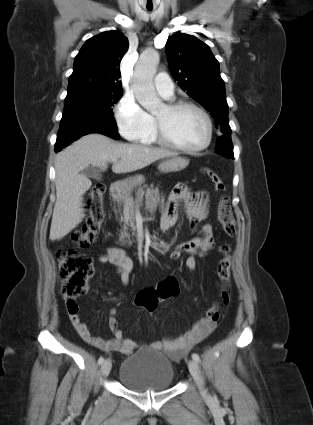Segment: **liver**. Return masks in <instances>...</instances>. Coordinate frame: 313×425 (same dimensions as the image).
Masks as SVG:
<instances>
[{"label":"liver","instance_id":"liver-1","mask_svg":"<svg viewBox=\"0 0 313 425\" xmlns=\"http://www.w3.org/2000/svg\"><path fill=\"white\" fill-rule=\"evenodd\" d=\"M175 156L177 153L167 149L112 142L98 133L85 135L75 141L56 156V202L50 240L62 239L85 217L83 195L92 183L82 171L89 165L104 171L107 163L115 159L117 162L113 164L112 171L129 173L145 168L159 159Z\"/></svg>","mask_w":313,"mask_h":425}]
</instances>
